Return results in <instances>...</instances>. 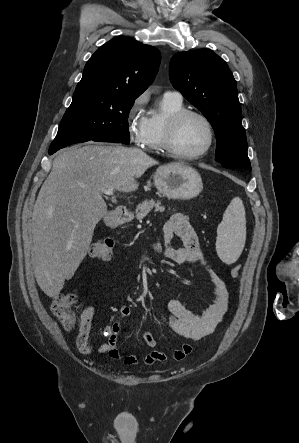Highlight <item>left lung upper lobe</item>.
Returning a JSON list of instances; mask_svg holds the SVG:
<instances>
[{
    "label": "left lung upper lobe",
    "mask_w": 299,
    "mask_h": 443,
    "mask_svg": "<svg viewBox=\"0 0 299 443\" xmlns=\"http://www.w3.org/2000/svg\"><path fill=\"white\" fill-rule=\"evenodd\" d=\"M169 77L212 125L216 161L227 168L251 170L236 81L226 62L210 49L180 52L170 61Z\"/></svg>",
    "instance_id": "1"
}]
</instances>
